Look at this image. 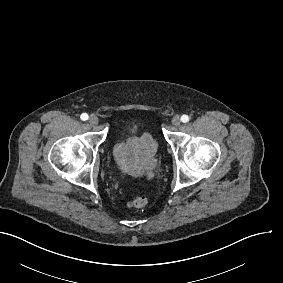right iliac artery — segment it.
<instances>
[{
    "mask_svg": "<svg viewBox=\"0 0 283 283\" xmlns=\"http://www.w3.org/2000/svg\"><path fill=\"white\" fill-rule=\"evenodd\" d=\"M81 120L85 121L88 119V115L87 113H82L81 116H80Z\"/></svg>",
    "mask_w": 283,
    "mask_h": 283,
    "instance_id": "1",
    "label": "right iliac artery"
}]
</instances>
